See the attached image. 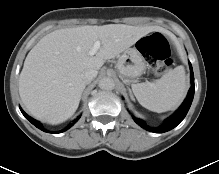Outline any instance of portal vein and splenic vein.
Listing matches in <instances>:
<instances>
[{
    "label": "portal vein and splenic vein",
    "mask_w": 219,
    "mask_h": 174,
    "mask_svg": "<svg viewBox=\"0 0 219 174\" xmlns=\"http://www.w3.org/2000/svg\"><path fill=\"white\" fill-rule=\"evenodd\" d=\"M100 41H96L93 45V47L91 48V50L89 51V55L90 56H93L97 53V51L99 50L100 48Z\"/></svg>",
    "instance_id": "obj_1"
}]
</instances>
